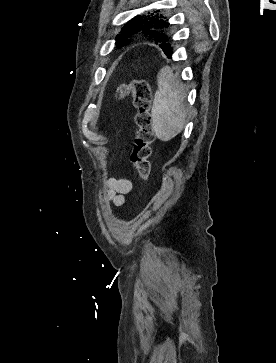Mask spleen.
<instances>
[{
    "instance_id": "1",
    "label": "spleen",
    "mask_w": 276,
    "mask_h": 363,
    "mask_svg": "<svg viewBox=\"0 0 276 363\" xmlns=\"http://www.w3.org/2000/svg\"><path fill=\"white\" fill-rule=\"evenodd\" d=\"M158 90L151 109L153 130L161 141L167 142L183 129L187 108L184 85L170 67H163L157 76Z\"/></svg>"
}]
</instances>
